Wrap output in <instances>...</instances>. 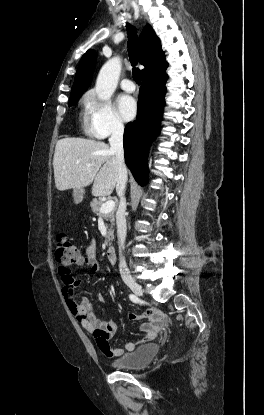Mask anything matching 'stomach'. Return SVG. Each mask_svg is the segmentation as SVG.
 Masks as SVG:
<instances>
[{"label": "stomach", "instance_id": "0dacf381", "mask_svg": "<svg viewBox=\"0 0 264 415\" xmlns=\"http://www.w3.org/2000/svg\"><path fill=\"white\" fill-rule=\"evenodd\" d=\"M85 194V190L83 188H74L72 191V198L75 204H79L82 202L83 197Z\"/></svg>", "mask_w": 264, "mask_h": 415}]
</instances>
